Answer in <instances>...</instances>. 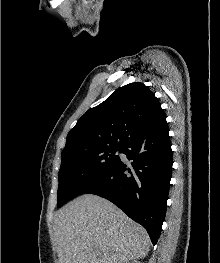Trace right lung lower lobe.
Here are the masks:
<instances>
[{"label":"right lung lower lobe","mask_w":220,"mask_h":263,"mask_svg":"<svg viewBox=\"0 0 220 263\" xmlns=\"http://www.w3.org/2000/svg\"><path fill=\"white\" fill-rule=\"evenodd\" d=\"M168 131L156 138L140 137L130 142L122 153L132 160L131 165L120 160L81 192L114 203L148 231L154 245L166 214L173 164Z\"/></svg>","instance_id":"obj_1"}]
</instances>
